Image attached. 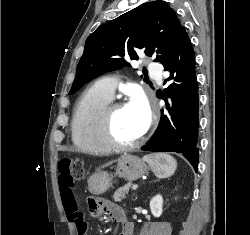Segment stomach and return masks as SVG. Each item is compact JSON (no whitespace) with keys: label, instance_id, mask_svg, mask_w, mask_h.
<instances>
[{"label":"stomach","instance_id":"stomach-1","mask_svg":"<svg viewBox=\"0 0 250 235\" xmlns=\"http://www.w3.org/2000/svg\"><path fill=\"white\" fill-rule=\"evenodd\" d=\"M148 170L145 162L137 156L124 154L118 160L115 176L134 181L143 176ZM113 176L107 172H97L89 180V191L101 195L112 186Z\"/></svg>","mask_w":250,"mask_h":235}]
</instances>
